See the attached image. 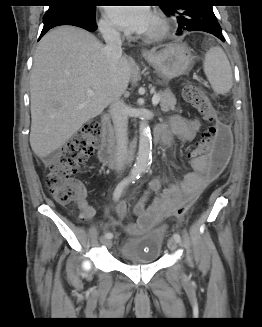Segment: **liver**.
I'll list each match as a JSON object with an SVG mask.
<instances>
[{
  "label": "liver",
  "mask_w": 262,
  "mask_h": 327,
  "mask_svg": "<svg viewBox=\"0 0 262 327\" xmlns=\"http://www.w3.org/2000/svg\"><path fill=\"white\" fill-rule=\"evenodd\" d=\"M130 77L127 57L111 72L104 45L91 33L71 26L48 32L37 47L30 78L33 152L44 159L62 147L126 91Z\"/></svg>",
  "instance_id": "6515ba94"
}]
</instances>
